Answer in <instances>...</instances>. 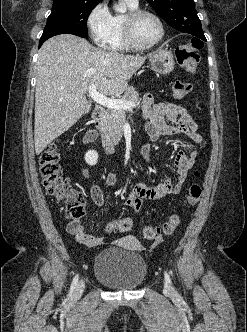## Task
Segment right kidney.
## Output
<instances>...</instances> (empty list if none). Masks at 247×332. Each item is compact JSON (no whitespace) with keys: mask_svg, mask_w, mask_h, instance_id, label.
<instances>
[{"mask_svg":"<svg viewBox=\"0 0 247 332\" xmlns=\"http://www.w3.org/2000/svg\"><path fill=\"white\" fill-rule=\"evenodd\" d=\"M85 161L88 165H96L98 161V153L94 150H90L85 154Z\"/></svg>","mask_w":247,"mask_h":332,"instance_id":"1","label":"right kidney"}]
</instances>
